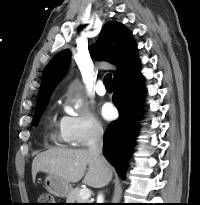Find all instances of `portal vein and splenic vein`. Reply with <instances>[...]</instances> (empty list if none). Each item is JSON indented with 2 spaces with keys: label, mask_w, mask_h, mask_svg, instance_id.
<instances>
[{
  "label": "portal vein and splenic vein",
  "mask_w": 200,
  "mask_h": 205,
  "mask_svg": "<svg viewBox=\"0 0 200 205\" xmlns=\"http://www.w3.org/2000/svg\"><path fill=\"white\" fill-rule=\"evenodd\" d=\"M79 196L83 199V200H88L91 196V190L88 188L85 189H81L79 192Z\"/></svg>",
  "instance_id": "18ae733b"
}]
</instances>
